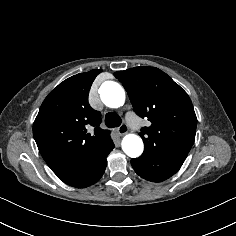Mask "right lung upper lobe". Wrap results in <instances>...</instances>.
I'll return each instance as SVG.
<instances>
[{
  "label": "right lung upper lobe",
  "instance_id": "cb5924a9",
  "mask_svg": "<svg viewBox=\"0 0 236 236\" xmlns=\"http://www.w3.org/2000/svg\"><path fill=\"white\" fill-rule=\"evenodd\" d=\"M101 72L94 69L64 80L40 107L33 136L53 172L88 164L112 141L110 132L99 127L100 112L88 103L90 87ZM90 126L92 134L87 130Z\"/></svg>",
  "mask_w": 236,
  "mask_h": 236
}]
</instances>
